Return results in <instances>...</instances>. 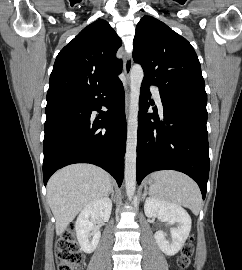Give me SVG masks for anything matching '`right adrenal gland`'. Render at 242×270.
<instances>
[{
    "label": "right adrenal gland",
    "instance_id": "2a0ac1e0",
    "mask_svg": "<svg viewBox=\"0 0 242 270\" xmlns=\"http://www.w3.org/2000/svg\"><path fill=\"white\" fill-rule=\"evenodd\" d=\"M111 194L112 199L114 198V189L112 188L111 191L109 192ZM109 194L107 196H109Z\"/></svg>",
    "mask_w": 242,
    "mask_h": 270
}]
</instances>
